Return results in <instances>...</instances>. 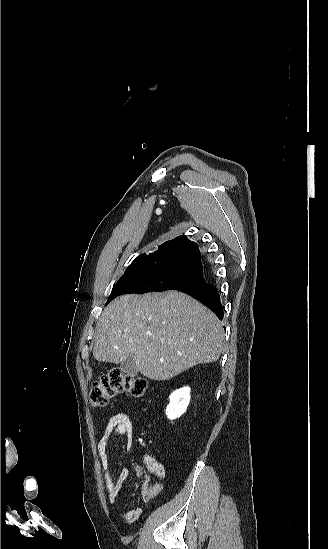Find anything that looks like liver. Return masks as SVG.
<instances>
[{"label":"liver","mask_w":328,"mask_h":549,"mask_svg":"<svg viewBox=\"0 0 328 549\" xmlns=\"http://www.w3.org/2000/svg\"><path fill=\"white\" fill-rule=\"evenodd\" d=\"M223 341L215 313L189 295H123L98 319L93 357L118 365L131 353L141 375L167 381L199 363L218 361Z\"/></svg>","instance_id":"6515ba94"}]
</instances>
